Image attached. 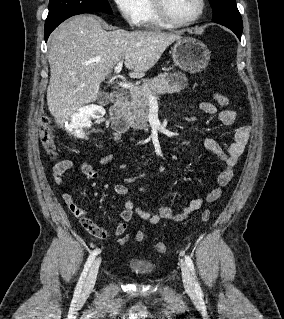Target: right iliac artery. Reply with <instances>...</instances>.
<instances>
[{
	"label": "right iliac artery",
	"mask_w": 284,
	"mask_h": 319,
	"mask_svg": "<svg viewBox=\"0 0 284 319\" xmlns=\"http://www.w3.org/2000/svg\"><path fill=\"white\" fill-rule=\"evenodd\" d=\"M99 252H100V250L97 248V249L93 250V251L90 253V255H89V257H88V259H87V261H86V263H85L83 272H82V274H81V276H80V278H79V281H78V283H77V285H76L75 294H77V295L80 294V292H81V290H82V287H83V284H84V281H85V278H86L87 273H88V271H89V268L91 267V265H92V263H93V261H94L96 255H97Z\"/></svg>",
	"instance_id": "obj_1"
}]
</instances>
